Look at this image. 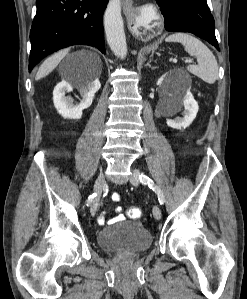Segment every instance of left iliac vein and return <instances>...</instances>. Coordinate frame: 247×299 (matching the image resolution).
<instances>
[{"instance_id": "4c4485c4", "label": "left iliac vein", "mask_w": 247, "mask_h": 299, "mask_svg": "<svg viewBox=\"0 0 247 299\" xmlns=\"http://www.w3.org/2000/svg\"><path fill=\"white\" fill-rule=\"evenodd\" d=\"M139 176H140V171L138 169H133L131 177H130V182L132 185H134V186L139 185V183H140ZM152 212H153V216L155 217V219L159 220L161 218L162 213H161V209L158 205L153 206Z\"/></svg>"}]
</instances>
